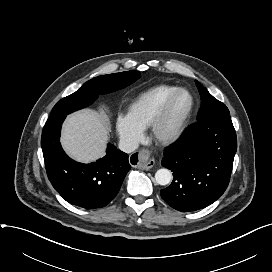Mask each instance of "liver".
<instances>
[{"mask_svg":"<svg viewBox=\"0 0 272 272\" xmlns=\"http://www.w3.org/2000/svg\"><path fill=\"white\" fill-rule=\"evenodd\" d=\"M109 126L96 111L86 109L69 115L63 125L61 143L73 159L89 163L105 154Z\"/></svg>","mask_w":272,"mask_h":272,"instance_id":"1","label":"liver"}]
</instances>
